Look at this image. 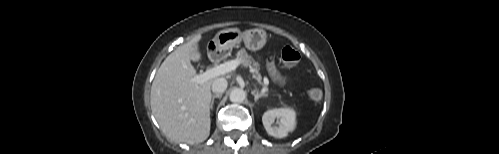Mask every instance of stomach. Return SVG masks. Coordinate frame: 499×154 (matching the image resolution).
<instances>
[{
	"label": "stomach",
	"mask_w": 499,
	"mask_h": 154,
	"mask_svg": "<svg viewBox=\"0 0 499 154\" xmlns=\"http://www.w3.org/2000/svg\"><path fill=\"white\" fill-rule=\"evenodd\" d=\"M218 50H228L237 43L243 41L246 48L251 51H258L264 47L267 41L266 32L263 29L254 28L244 32L238 29H226L218 32L213 39Z\"/></svg>",
	"instance_id": "stomach-1"
}]
</instances>
